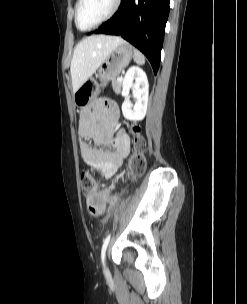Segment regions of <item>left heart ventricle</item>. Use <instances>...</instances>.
Segmentation results:
<instances>
[{
	"instance_id": "1",
	"label": "left heart ventricle",
	"mask_w": 247,
	"mask_h": 304,
	"mask_svg": "<svg viewBox=\"0 0 247 304\" xmlns=\"http://www.w3.org/2000/svg\"><path fill=\"white\" fill-rule=\"evenodd\" d=\"M114 0H83L78 15V23L81 28H88L112 9Z\"/></svg>"
}]
</instances>
